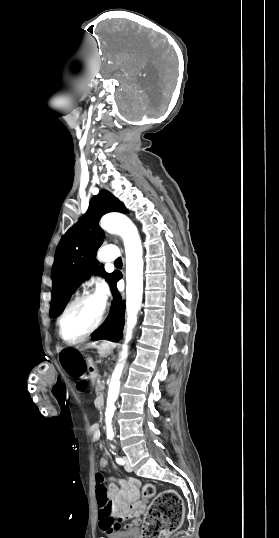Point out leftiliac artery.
Wrapping results in <instances>:
<instances>
[{
	"instance_id": "left-iliac-artery-1",
	"label": "left iliac artery",
	"mask_w": 279,
	"mask_h": 538,
	"mask_svg": "<svg viewBox=\"0 0 279 538\" xmlns=\"http://www.w3.org/2000/svg\"><path fill=\"white\" fill-rule=\"evenodd\" d=\"M116 462H117L119 465H123V464H124V460H123L121 457H116Z\"/></svg>"
}]
</instances>
